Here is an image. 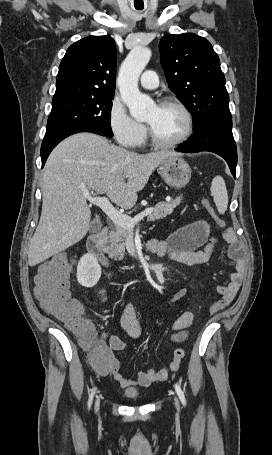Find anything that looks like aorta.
<instances>
[{
	"label": "aorta",
	"instance_id": "1",
	"mask_svg": "<svg viewBox=\"0 0 272 455\" xmlns=\"http://www.w3.org/2000/svg\"><path fill=\"white\" fill-rule=\"evenodd\" d=\"M151 57L146 47L133 48L121 65L118 75V86L121 98L129 108L131 116L136 120L147 117L155 104L147 95L138 89V79Z\"/></svg>",
	"mask_w": 272,
	"mask_h": 455
}]
</instances>
